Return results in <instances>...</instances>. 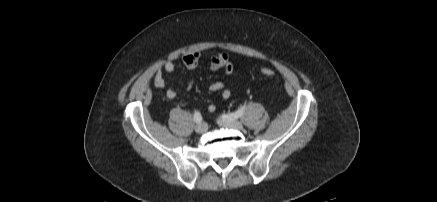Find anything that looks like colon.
Returning a JSON list of instances; mask_svg holds the SVG:
<instances>
[{"label":"colon","instance_id":"colon-1","mask_svg":"<svg viewBox=\"0 0 437 202\" xmlns=\"http://www.w3.org/2000/svg\"><path fill=\"white\" fill-rule=\"evenodd\" d=\"M260 72H261V74L263 76H266V77H273V76H275V72L271 68H266V67L265 68H261Z\"/></svg>","mask_w":437,"mask_h":202}]
</instances>
